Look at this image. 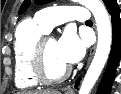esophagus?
<instances>
[{
    "mask_svg": "<svg viewBox=\"0 0 121 94\" xmlns=\"http://www.w3.org/2000/svg\"><path fill=\"white\" fill-rule=\"evenodd\" d=\"M65 94H74L73 89L69 88L66 90Z\"/></svg>",
    "mask_w": 121,
    "mask_h": 94,
    "instance_id": "1",
    "label": "esophagus"
}]
</instances>
